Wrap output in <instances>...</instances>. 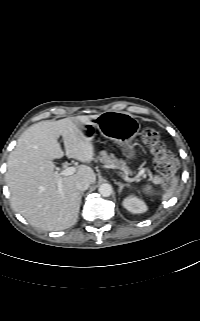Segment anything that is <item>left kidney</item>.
<instances>
[{
	"instance_id": "left-kidney-1",
	"label": "left kidney",
	"mask_w": 200,
	"mask_h": 321,
	"mask_svg": "<svg viewBox=\"0 0 200 321\" xmlns=\"http://www.w3.org/2000/svg\"><path fill=\"white\" fill-rule=\"evenodd\" d=\"M123 206L134 214H140L147 211V206L136 197L129 196L123 200Z\"/></svg>"
}]
</instances>
